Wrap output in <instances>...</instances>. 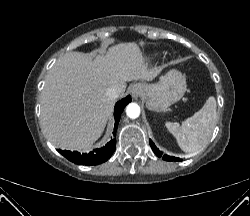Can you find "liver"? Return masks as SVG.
<instances>
[{"label": "liver", "mask_w": 250, "mask_h": 216, "mask_svg": "<svg viewBox=\"0 0 250 216\" xmlns=\"http://www.w3.org/2000/svg\"><path fill=\"white\" fill-rule=\"evenodd\" d=\"M161 68H149L134 42L120 43L105 55L70 52L50 69L41 96V126L61 149L84 151L102 135L114 101L107 89L124 95L126 82L151 81Z\"/></svg>", "instance_id": "6515ba94"}]
</instances>
